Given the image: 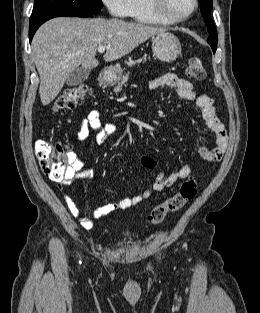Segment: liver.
Listing matches in <instances>:
<instances>
[{"label": "liver", "instance_id": "liver-1", "mask_svg": "<svg viewBox=\"0 0 260 313\" xmlns=\"http://www.w3.org/2000/svg\"><path fill=\"white\" fill-rule=\"evenodd\" d=\"M165 28L119 19L59 17L44 23L32 40V57L40 76L39 94L44 106L61 91L66 78L80 65L91 70L99 46H107L103 59L114 61Z\"/></svg>", "mask_w": 260, "mask_h": 313}]
</instances>
